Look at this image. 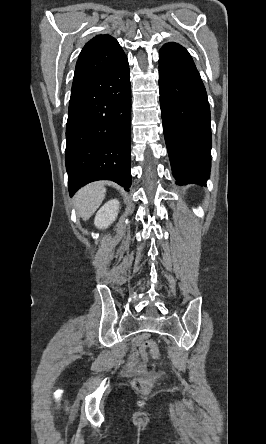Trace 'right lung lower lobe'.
I'll return each instance as SVG.
<instances>
[{"instance_id":"1","label":"right lung lower lobe","mask_w":266,"mask_h":444,"mask_svg":"<svg viewBox=\"0 0 266 444\" xmlns=\"http://www.w3.org/2000/svg\"><path fill=\"white\" fill-rule=\"evenodd\" d=\"M65 163L70 196L96 180L131 186V83L126 55L72 93Z\"/></svg>"}]
</instances>
